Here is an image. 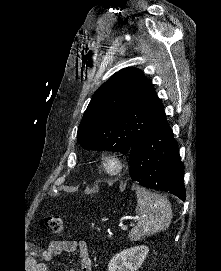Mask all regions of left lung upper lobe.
Segmentation results:
<instances>
[{"label": "left lung upper lobe", "mask_w": 221, "mask_h": 271, "mask_svg": "<svg viewBox=\"0 0 221 271\" xmlns=\"http://www.w3.org/2000/svg\"><path fill=\"white\" fill-rule=\"evenodd\" d=\"M165 118L151 82L142 71L128 67L96 90L78 127L77 141L84 149L126 154Z\"/></svg>", "instance_id": "left-lung-upper-lobe-1"}]
</instances>
